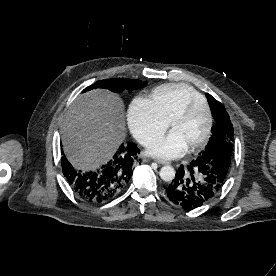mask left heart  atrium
Wrapping results in <instances>:
<instances>
[{
  "label": "left heart atrium",
  "mask_w": 276,
  "mask_h": 276,
  "mask_svg": "<svg viewBox=\"0 0 276 276\" xmlns=\"http://www.w3.org/2000/svg\"><path fill=\"white\" fill-rule=\"evenodd\" d=\"M188 146L180 135L172 130L166 136L154 142L148 148V153L162 159H175L184 155Z\"/></svg>",
  "instance_id": "left-heart-atrium-1"
}]
</instances>
